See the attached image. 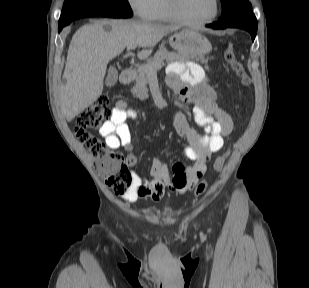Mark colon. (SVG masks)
<instances>
[{
  "instance_id": "1",
  "label": "colon",
  "mask_w": 309,
  "mask_h": 288,
  "mask_svg": "<svg viewBox=\"0 0 309 288\" xmlns=\"http://www.w3.org/2000/svg\"><path fill=\"white\" fill-rule=\"evenodd\" d=\"M224 59L245 87H249L251 79L244 65L237 58L233 46H228ZM112 115L110 100L106 95H100L90 106L84 109L76 119L75 134L80 145L88 151L93 159L94 167L105 185L114 193L123 194L132 186V175L127 168L126 159L119 152L113 151L105 142L88 130L97 128L105 119ZM219 155L213 163V169L220 170L227 153ZM173 190V187L170 186ZM207 188V180H201L195 190L197 196L202 195ZM174 191V190H173Z\"/></svg>"
}]
</instances>
